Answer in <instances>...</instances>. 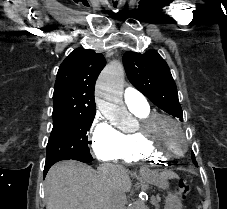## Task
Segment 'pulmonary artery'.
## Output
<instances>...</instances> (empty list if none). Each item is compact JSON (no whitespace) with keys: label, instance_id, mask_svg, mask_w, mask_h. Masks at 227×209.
Instances as JSON below:
<instances>
[{"label":"pulmonary artery","instance_id":"pulmonary-artery-1","mask_svg":"<svg viewBox=\"0 0 227 209\" xmlns=\"http://www.w3.org/2000/svg\"><path fill=\"white\" fill-rule=\"evenodd\" d=\"M124 102L132 108L143 109L148 106L146 95H141L139 88H126V91H124Z\"/></svg>","mask_w":227,"mask_h":209}]
</instances>
